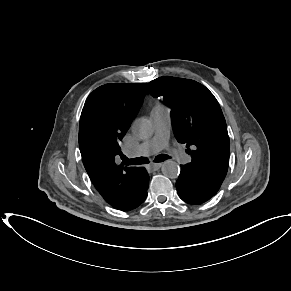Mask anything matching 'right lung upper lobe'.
Here are the masks:
<instances>
[{"label": "right lung upper lobe", "instance_id": "obj_1", "mask_svg": "<svg viewBox=\"0 0 291 291\" xmlns=\"http://www.w3.org/2000/svg\"><path fill=\"white\" fill-rule=\"evenodd\" d=\"M144 83H112L95 89L86 99L79 124V147L84 167L95 188L111 206L131 193L135 167L115 163L123 155L120 140L139 111Z\"/></svg>", "mask_w": 291, "mask_h": 291}]
</instances>
